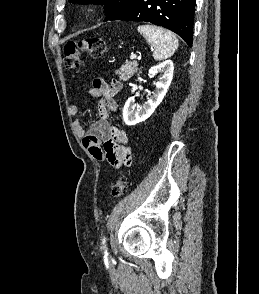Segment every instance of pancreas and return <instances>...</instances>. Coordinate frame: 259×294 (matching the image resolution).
<instances>
[{
    "instance_id": "1",
    "label": "pancreas",
    "mask_w": 259,
    "mask_h": 294,
    "mask_svg": "<svg viewBox=\"0 0 259 294\" xmlns=\"http://www.w3.org/2000/svg\"><path fill=\"white\" fill-rule=\"evenodd\" d=\"M138 70V63L136 61H126L119 70L115 71V74H119V79L128 81L135 72Z\"/></svg>"
}]
</instances>
